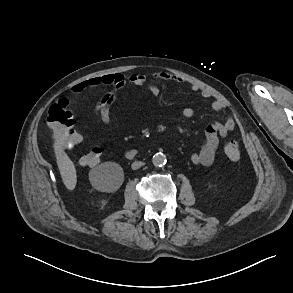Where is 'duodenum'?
<instances>
[{
	"instance_id": "410a0bca",
	"label": "duodenum",
	"mask_w": 293,
	"mask_h": 293,
	"mask_svg": "<svg viewBox=\"0 0 293 293\" xmlns=\"http://www.w3.org/2000/svg\"><path fill=\"white\" fill-rule=\"evenodd\" d=\"M136 155H137V150L135 149H131L125 152V157L129 160L136 157Z\"/></svg>"
}]
</instances>
